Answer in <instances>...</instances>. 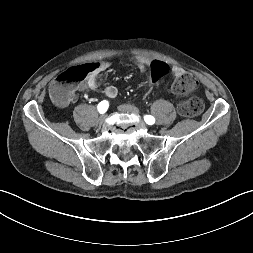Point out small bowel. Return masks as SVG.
<instances>
[{"mask_svg": "<svg viewBox=\"0 0 253 253\" xmlns=\"http://www.w3.org/2000/svg\"><path fill=\"white\" fill-rule=\"evenodd\" d=\"M133 61L140 72H145V70L147 68H150V63L154 60L146 58V57L138 56V57H135ZM93 65H94V69H93L92 73L89 75L88 79L85 82L78 85V87H77L78 91H85L88 89H91V90L96 89L98 74L108 70L110 67V63L107 61H102V62L93 64ZM172 73L177 78L182 73H184V70L179 66H174V67H172ZM104 93L108 98L113 99L117 96L118 90L115 86L109 85L105 88Z\"/></svg>", "mask_w": 253, "mask_h": 253, "instance_id": "small-bowel-1", "label": "small bowel"}]
</instances>
